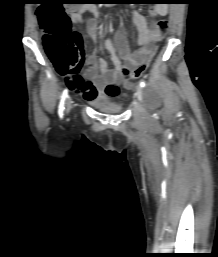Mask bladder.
Returning a JSON list of instances; mask_svg holds the SVG:
<instances>
[{
	"label": "bladder",
	"mask_w": 218,
	"mask_h": 257,
	"mask_svg": "<svg viewBox=\"0 0 218 257\" xmlns=\"http://www.w3.org/2000/svg\"><path fill=\"white\" fill-rule=\"evenodd\" d=\"M88 103L97 110L108 114H117L122 111V106L107 97H98Z\"/></svg>",
	"instance_id": "bladder-1"
}]
</instances>
